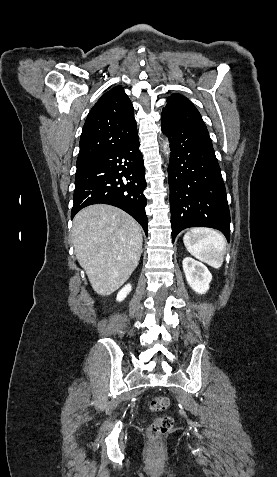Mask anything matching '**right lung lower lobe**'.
Returning a JSON list of instances; mask_svg holds the SVG:
<instances>
[{
  "instance_id": "98d812e1",
  "label": "right lung lower lobe",
  "mask_w": 277,
  "mask_h": 477,
  "mask_svg": "<svg viewBox=\"0 0 277 477\" xmlns=\"http://www.w3.org/2000/svg\"><path fill=\"white\" fill-rule=\"evenodd\" d=\"M143 157L136 133L128 141L77 166L71 218L82 208L104 203L130 214L148 235Z\"/></svg>"
}]
</instances>
